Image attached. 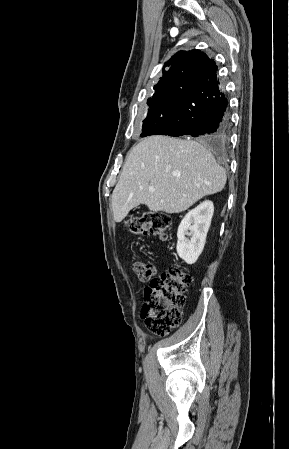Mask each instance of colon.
Wrapping results in <instances>:
<instances>
[{
	"label": "colon",
	"instance_id": "colon-1",
	"mask_svg": "<svg viewBox=\"0 0 289 449\" xmlns=\"http://www.w3.org/2000/svg\"><path fill=\"white\" fill-rule=\"evenodd\" d=\"M170 226L171 219L166 214L154 211H146L128 223L133 234L151 233L160 238H166ZM133 269L141 281L149 282L141 310L145 325L153 334L166 336L182 321L185 292L192 283V276L177 264L159 278L154 277L156 267L153 262L137 260Z\"/></svg>",
	"mask_w": 289,
	"mask_h": 449
}]
</instances>
